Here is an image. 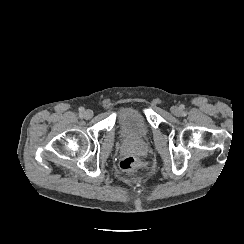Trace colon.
Returning <instances> with one entry per match:
<instances>
[{
	"instance_id": "5ec220e1",
	"label": "colon",
	"mask_w": 244,
	"mask_h": 244,
	"mask_svg": "<svg viewBox=\"0 0 244 244\" xmlns=\"http://www.w3.org/2000/svg\"><path fill=\"white\" fill-rule=\"evenodd\" d=\"M120 168L134 174H141L147 168L145 160L139 156H126L120 161Z\"/></svg>"
}]
</instances>
